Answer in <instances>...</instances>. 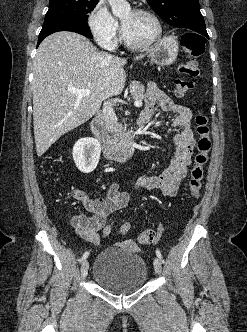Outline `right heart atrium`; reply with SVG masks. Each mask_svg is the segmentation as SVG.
<instances>
[{
    "label": "right heart atrium",
    "mask_w": 247,
    "mask_h": 332,
    "mask_svg": "<svg viewBox=\"0 0 247 332\" xmlns=\"http://www.w3.org/2000/svg\"><path fill=\"white\" fill-rule=\"evenodd\" d=\"M88 26L95 41L103 48L115 46L119 24L104 2L99 1L88 16Z\"/></svg>",
    "instance_id": "1"
}]
</instances>
